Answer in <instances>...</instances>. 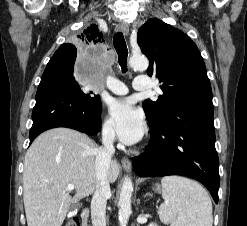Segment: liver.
I'll list each match as a JSON object with an SVG mask.
<instances>
[{"instance_id":"6515ba94","label":"liver","mask_w":247,"mask_h":226,"mask_svg":"<svg viewBox=\"0 0 247 226\" xmlns=\"http://www.w3.org/2000/svg\"><path fill=\"white\" fill-rule=\"evenodd\" d=\"M93 141L69 128L38 136L24 160L23 200L28 226H61L72 203L95 192L97 178ZM119 165L111 161L107 180L114 183ZM68 184L75 187L72 197Z\"/></svg>"}]
</instances>
